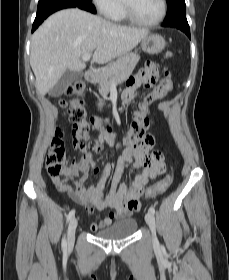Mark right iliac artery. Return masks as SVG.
<instances>
[{"label":"right iliac artery","instance_id":"obj_1","mask_svg":"<svg viewBox=\"0 0 229 280\" xmlns=\"http://www.w3.org/2000/svg\"><path fill=\"white\" fill-rule=\"evenodd\" d=\"M75 215V210H71L67 215V222L70 221V219ZM62 248L65 250L67 248V242L66 239L63 238L62 240Z\"/></svg>","mask_w":229,"mask_h":280}]
</instances>
